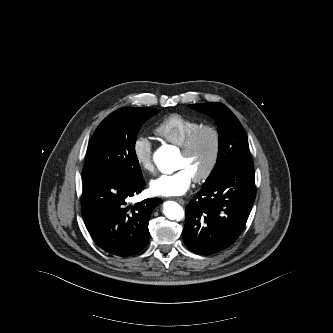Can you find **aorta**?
<instances>
[{
    "mask_svg": "<svg viewBox=\"0 0 333 333\" xmlns=\"http://www.w3.org/2000/svg\"><path fill=\"white\" fill-rule=\"evenodd\" d=\"M178 158L177 152L172 146H161L153 156L157 168L165 174H171L174 171L175 161ZM163 213L170 220L180 221L184 218L183 208L174 201H167L163 204Z\"/></svg>",
    "mask_w": 333,
    "mask_h": 333,
    "instance_id": "aorta-1",
    "label": "aorta"
}]
</instances>
